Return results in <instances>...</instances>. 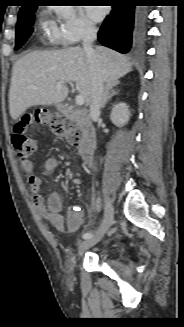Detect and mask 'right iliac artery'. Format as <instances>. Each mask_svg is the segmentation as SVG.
Listing matches in <instances>:
<instances>
[{
    "mask_svg": "<svg viewBox=\"0 0 184 327\" xmlns=\"http://www.w3.org/2000/svg\"><path fill=\"white\" fill-rule=\"evenodd\" d=\"M92 236H93V235H92L91 232H86V233L83 234V239H88V238H90V237H92Z\"/></svg>",
    "mask_w": 184,
    "mask_h": 327,
    "instance_id": "1",
    "label": "right iliac artery"
}]
</instances>
